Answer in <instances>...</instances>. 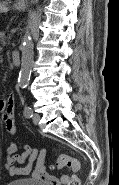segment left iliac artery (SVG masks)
<instances>
[{"label":"left iliac artery","mask_w":119,"mask_h":185,"mask_svg":"<svg viewBox=\"0 0 119 185\" xmlns=\"http://www.w3.org/2000/svg\"><path fill=\"white\" fill-rule=\"evenodd\" d=\"M24 116L26 118H31L33 116V111L31 107H25L24 109Z\"/></svg>","instance_id":"left-iliac-artery-1"}]
</instances>
